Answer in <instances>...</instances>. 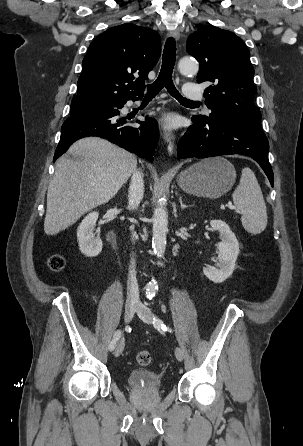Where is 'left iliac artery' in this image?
<instances>
[{
  "label": "left iliac artery",
  "mask_w": 303,
  "mask_h": 446,
  "mask_svg": "<svg viewBox=\"0 0 303 446\" xmlns=\"http://www.w3.org/2000/svg\"><path fill=\"white\" fill-rule=\"evenodd\" d=\"M153 325H154V327H155L156 329H158V330L172 332V329L169 328V327H167V326L162 322V320H160V319L157 318V317H154V318H153Z\"/></svg>",
  "instance_id": "44dca946"
}]
</instances>
